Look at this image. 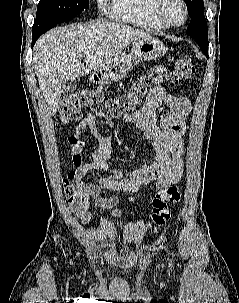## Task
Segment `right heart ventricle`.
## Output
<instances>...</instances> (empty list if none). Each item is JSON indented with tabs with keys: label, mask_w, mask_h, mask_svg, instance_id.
<instances>
[{
	"label": "right heart ventricle",
	"mask_w": 239,
	"mask_h": 303,
	"mask_svg": "<svg viewBox=\"0 0 239 303\" xmlns=\"http://www.w3.org/2000/svg\"><path fill=\"white\" fill-rule=\"evenodd\" d=\"M154 0H112V18L151 31H161L165 27L153 15Z\"/></svg>",
	"instance_id": "e07e8e85"
}]
</instances>
